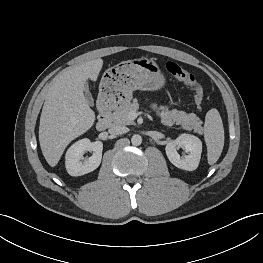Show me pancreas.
Segmentation results:
<instances>
[{
  "mask_svg": "<svg viewBox=\"0 0 263 263\" xmlns=\"http://www.w3.org/2000/svg\"><path fill=\"white\" fill-rule=\"evenodd\" d=\"M137 100L132 103L121 106L111 115L113 125H133L134 121L130 117L131 111L138 110ZM159 117L164 125L172 126L174 124L180 125L182 129L187 131H194L195 133L202 134V121L194 113H186L177 109L168 110L165 106H160Z\"/></svg>",
  "mask_w": 263,
  "mask_h": 263,
  "instance_id": "1",
  "label": "pancreas"
}]
</instances>
